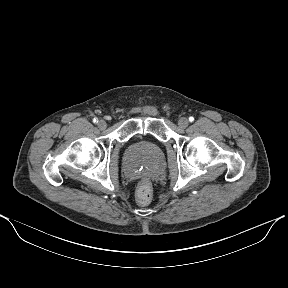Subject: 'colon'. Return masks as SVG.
I'll return each instance as SVG.
<instances>
[{
	"instance_id": "5ec220e1",
	"label": "colon",
	"mask_w": 288,
	"mask_h": 288,
	"mask_svg": "<svg viewBox=\"0 0 288 288\" xmlns=\"http://www.w3.org/2000/svg\"><path fill=\"white\" fill-rule=\"evenodd\" d=\"M152 188L149 182L142 181L137 188L136 200L140 205H146L151 201Z\"/></svg>"
}]
</instances>
